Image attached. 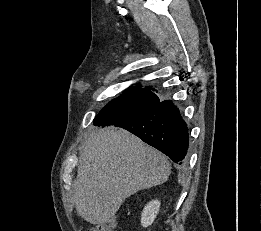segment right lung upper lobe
Segmentation results:
<instances>
[{
    "mask_svg": "<svg viewBox=\"0 0 261 231\" xmlns=\"http://www.w3.org/2000/svg\"><path fill=\"white\" fill-rule=\"evenodd\" d=\"M132 88L142 89V90H145V91H147V92H149V93H151V94H155L153 91H151V88L147 89V88H141V87H139V86H137V87H132ZM155 95H156V94H155Z\"/></svg>",
    "mask_w": 261,
    "mask_h": 231,
    "instance_id": "obj_1",
    "label": "right lung upper lobe"
}]
</instances>
